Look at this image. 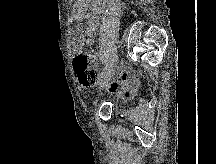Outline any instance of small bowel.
Instances as JSON below:
<instances>
[{
    "label": "small bowel",
    "mask_w": 216,
    "mask_h": 164,
    "mask_svg": "<svg viewBox=\"0 0 216 164\" xmlns=\"http://www.w3.org/2000/svg\"><path fill=\"white\" fill-rule=\"evenodd\" d=\"M90 27L87 28L84 41L90 45L93 43L97 33L96 17L91 16L89 19ZM137 80L128 69H120L114 76V80L108 86V91L119 96H129L133 93L136 87Z\"/></svg>",
    "instance_id": "small-bowel-1"
}]
</instances>
